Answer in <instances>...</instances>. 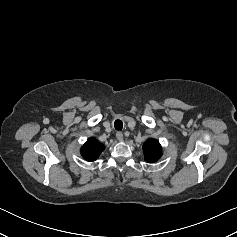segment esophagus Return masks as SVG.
<instances>
[{
  "mask_svg": "<svg viewBox=\"0 0 237 237\" xmlns=\"http://www.w3.org/2000/svg\"><path fill=\"white\" fill-rule=\"evenodd\" d=\"M116 137H117V139L119 140V141H122L123 140V133L122 132H117L116 133Z\"/></svg>",
  "mask_w": 237,
  "mask_h": 237,
  "instance_id": "34e87169",
  "label": "esophagus"
}]
</instances>
